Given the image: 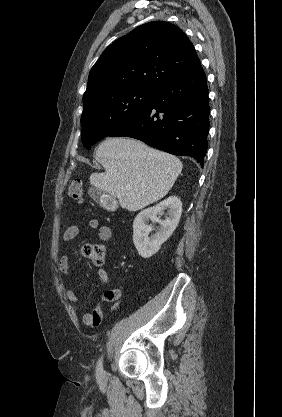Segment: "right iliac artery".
Returning <instances> with one entry per match:
<instances>
[{"label": "right iliac artery", "instance_id": "obj_1", "mask_svg": "<svg viewBox=\"0 0 282 417\" xmlns=\"http://www.w3.org/2000/svg\"><path fill=\"white\" fill-rule=\"evenodd\" d=\"M96 372L98 375H103L104 370H103V363H102V357L99 359L98 363H97V369Z\"/></svg>", "mask_w": 282, "mask_h": 417}]
</instances>
